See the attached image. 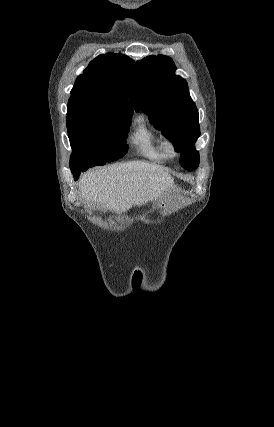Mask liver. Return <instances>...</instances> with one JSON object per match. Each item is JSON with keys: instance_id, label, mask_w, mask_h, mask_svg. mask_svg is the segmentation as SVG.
I'll return each instance as SVG.
<instances>
[{"instance_id": "1", "label": "liver", "mask_w": 274, "mask_h": 427, "mask_svg": "<svg viewBox=\"0 0 274 427\" xmlns=\"http://www.w3.org/2000/svg\"><path fill=\"white\" fill-rule=\"evenodd\" d=\"M173 178L162 166L147 162H125L89 170L81 176L79 192L90 204L123 214L132 206L159 200Z\"/></svg>"}]
</instances>
